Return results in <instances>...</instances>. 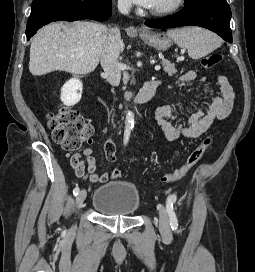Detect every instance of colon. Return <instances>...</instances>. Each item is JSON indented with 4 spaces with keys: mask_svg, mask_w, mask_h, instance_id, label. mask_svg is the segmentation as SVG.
Listing matches in <instances>:
<instances>
[{
    "mask_svg": "<svg viewBox=\"0 0 255 272\" xmlns=\"http://www.w3.org/2000/svg\"><path fill=\"white\" fill-rule=\"evenodd\" d=\"M223 59V55L214 52L202 59V66L205 69H212ZM48 124L52 132L53 140L67 151L80 149L84 144L91 143L92 127L79 116V113L70 107L63 106L48 117ZM212 137L207 136L189 154L186 162L174 172L163 178L165 183L179 180L186 176L203 158L206 151L212 145ZM121 172L114 169L111 173L112 178H119Z\"/></svg>",
    "mask_w": 255,
    "mask_h": 272,
    "instance_id": "5ec220e1",
    "label": "colon"
}]
</instances>
